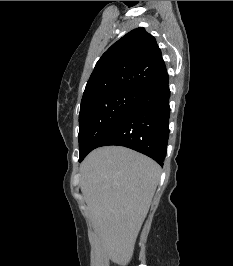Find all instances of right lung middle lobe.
<instances>
[{
  "label": "right lung middle lobe",
  "instance_id": "right-lung-middle-lobe-1",
  "mask_svg": "<svg viewBox=\"0 0 233 266\" xmlns=\"http://www.w3.org/2000/svg\"><path fill=\"white\" fill-rule=\"evenodd\" d=\"M145 91L124 89L104 93L81 102L79 152L86 156L139 101Z\"/></svg>",
  "mask_w": 233,
  "mask_h": 266
}]
</instances>
